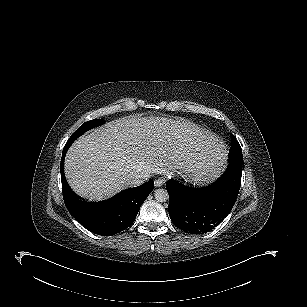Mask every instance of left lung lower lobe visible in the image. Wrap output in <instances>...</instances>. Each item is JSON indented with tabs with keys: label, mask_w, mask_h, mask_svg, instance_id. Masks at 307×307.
Masks as SVG:
<instances>
[{
	"label": "left lung lower lobe",
	"mask_w": 307,
	"mask_h": 307,
	"mask_svg": "<svg viewBox=\"0 0 307 307\" xmlns=\"http://www.w3.org/2000/svg\"><path fill=\"white\" fill-rule=\"evenodd\" d=\"M242 165H228L212 185L192 188L170 179L169 215L179 229L190 234H204L221 223L231 211L241 185Z\"/></svg>",
	"instance_id": "0a47b994"
}]
</instances>
